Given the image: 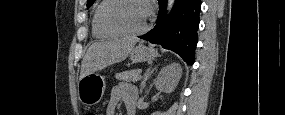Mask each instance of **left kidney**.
Masks as SVG:
<instances>
[{"label":"left kidney","mask_w":285,"mask_h":115,"mask_svg":"<svg viewBox=\"0 0 285 115\" xmlns=\"http://www.w3.org/2000/svg\"><path fill=\"white\" fill-rule=\"evenodd\" d=\"M182 74L179 63H172L164 67L156 80V88L160 91L171 93L176 88Z\"/></svg>","instance_id":"left-kidney-1"}]
</instances>
